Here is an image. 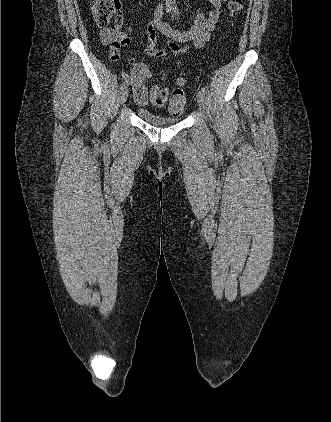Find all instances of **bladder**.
<instances>
[{
	"label": "bladder",
	"mask_w": 331,
	"mask_h": 422,
	"mask_svg": "<svg viewBox=\"0 0 331 422\" xmlns=\"http://www.w3.org/2000/svg\"><path fill=\"white\" fill-rule=\"evenodd\" d=\"M136 112L142 120L153 126L174 125L181 121V117L178 115H164L146 108H138Z\"/></svg>",
	"instance_id": "1"
}]
</instances>
